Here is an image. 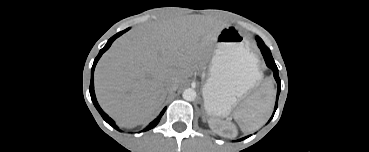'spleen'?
<instances>
[{"instance_id":"spleen-1","label":"spleen","mask_w":369,"mask_h":152,"mask_svg":"<svg viewBox=\"0 0 369 152\" xmlns=\"http://www.w3.org/2000/svg\"><path fill=\"white\" fill-rule=\"evenodd\" d=\"M275 101V90L272 84L263 87L251 95L234 111V119L244 132H253L268 119Z\"/></svg>"}]
</instances>
